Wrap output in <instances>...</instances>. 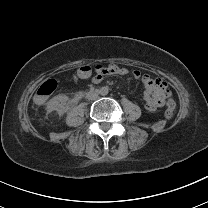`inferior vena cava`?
<instances>
[{
	"label": "inferior vena cava",
	"mask_w": 208,
	"mask_h": 208,
	"mask_svg": "<svg viewBox=\"0 0 208 208\" xmlns=\"http://www.w3.org/2000/svg\"><path fill=\"white\" fill-rule=\"evenodd\" d=\"M93 94L91 95V92L89 91V92H87L86 93V98L87 99H90V100H94V99H96L97 98V96H98V94L97 93H95V92H92Z\"/></svg>",
	"instance_id": "inferior-vena-cava-1"
}]
</instances>
